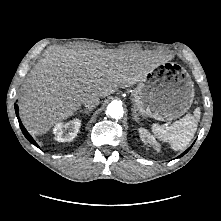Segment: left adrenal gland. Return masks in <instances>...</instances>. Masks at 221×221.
<instances>
[{
	"mask_svg": "<svg viewBox=\"0 0 221 221\" xmlns=\"http://www.w3.org/2000/svg\"><path fill=\"white\" fill-rule=\"evenodd\" d=\"M132 115H133V119L135 120V121H138L139 119H138V116H137V114H136V111L134 110V109H132Z\"/></svg>",
	"mask_w": 221,
	"mask_h": 221,
	"instance_id": "a2214340",
	"label": "left adrenal gland"
}]
</instances>
